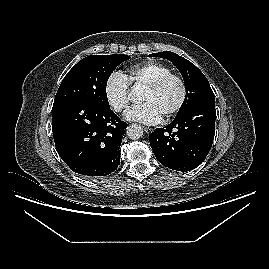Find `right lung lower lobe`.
<instances>
[{
    "label": "right lung lower lobe",
    "mask_w": 269,
    "mask_h": 269,
    "mask_svg": "<svg viewBox=\"0 0 269 269\" xmlns=\"http://www.w3.org/2000/svg\"><path fill=\"white\" fill-rule=\"evenodd\" d=\"M127 123L110 107L68 100L54 102L52 131L56 150L69 168L96 179L120 164V146Z\"/></svg>",
    "instance_id": "98d812e1"
}]
</instances>
